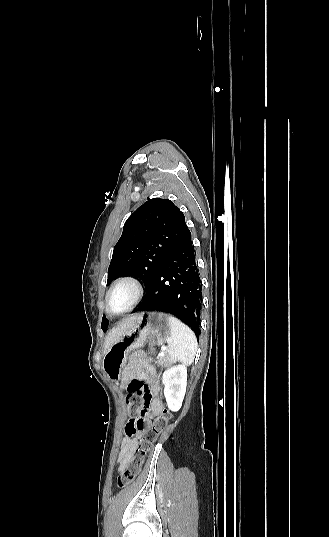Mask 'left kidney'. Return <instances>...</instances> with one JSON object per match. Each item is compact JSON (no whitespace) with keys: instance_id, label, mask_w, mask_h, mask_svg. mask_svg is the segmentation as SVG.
Instances as JSON below:
<instances>
[{"instance_id":"1","label":"left kidney","mask_w":329,"mask_h":537,"mask_svg":"<svg viewBox=\"0 0 329 537\" xmlns=\"http://www.w3.org/2000/svg\"><path fill=\"white\" fill-rule=\"evenodd\" d=\"M164 395L168 408L178 411L184 399L187 385V368L185 365H174L167 369L162 376Z\"/></svg>"}]
</instances>
